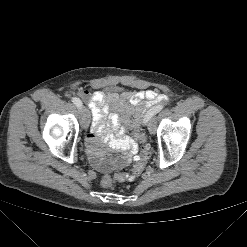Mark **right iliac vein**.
I'll list each match as a JSON object with an SVG mask.
<instances>
[{
  "label": "right iliac vein",
  "mask_w": 247,
  "mask_h": 247,
  "mask_svg": "<svg viewBox=\"0 0 247 247\" xmlns=\"http://www.w3.org/2000/svg\"><path fill=\"white\" fill-rule=\"evenodd\" d=\"M81 125L84 129H87L90 123V114L85 107L80 108Z\"/></svg>",
  "instance_id": "right-iliac-vein-1"
}]
</instances>
